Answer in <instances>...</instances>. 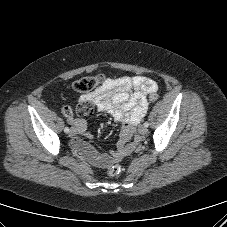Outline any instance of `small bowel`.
<instances>
[{"mask_svg":"<svg viewBox=\"0 0 227 227\" xmlns=\"http://www.w3.org/2000/svg\"><path fill=\"white\" fill-rule=\"evenodd\" d=\"M157 83L145 76H120L107 78L92 93L81 97V104L77 107L78 116L91 115L97 111L110 114L113 119L121 123L122 128L117 148L110 154L98 153L90 144L75 137L72 147L86 160L97 168H104L112 161H120L129 155L137 142L134 126L146 114L148 108L147 97L155 94ZM77 135L87 139L92 138L87 122L82 118L68 116Z\"/></svg>","mask_w":227,"mask_h":227,"instance_id":"small-bowel-1","label":"small bowel"}]
</instances>
